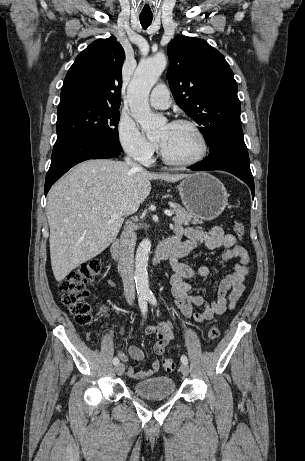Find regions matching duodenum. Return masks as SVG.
Here are the masks:
<instances>
[{"instance_id": "410a0bca", "label": "duodenum", "mask_w": 305, "mask_h": 461, "mask_svg": "<svg viewBox=\"0 0 305 461\" xmlns=\"http://www.w3.org/2000/svg\"><path fill=\"white\" fill-rule=\"evenodd\" d=\"M180 245V238L178 236H171L162 241L157 249L154 256V262L160 263L167 260L171 252ZM120 241L115 240L111 246V252L115 260L119 261L121 258L120 254Z\"/></svg>"}]
</instances>
